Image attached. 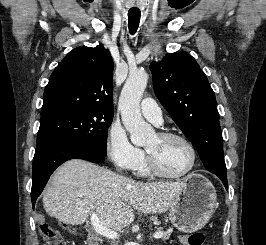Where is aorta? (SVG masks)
Returning a JSON list of instances; mask_svg holds the SVG:
<instances>
[{
    "label": "aorta",
    "instance_id": "762f6f07",
    "mask_svg": "<svg viewBox=\"0 0 266 245\" xmlns=\"http://www.w3.org/2000/svg\"><path fill=\"white\" fill-rule=\"evenodd\" d=\"M147 82L148 74L145 70L129 72L118 102L123 125L126 131L130 133L131 143L137 147L145 145L148 137L154 135L151 125L145 123L139 106Z\"/></svg>",
    "mask_w": 266,
    "mask_h": 245
}]
</instances>
